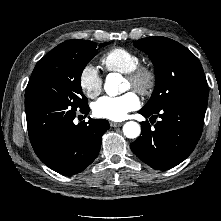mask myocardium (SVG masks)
I'll return each instance as SVG.
<instances>
[{
	"label": "myocardium",
	"instance_id": "f54148a6",
	"mask_svg": "<svg viewBox=\"0 0 221 221\" xmlns=\"http://www.w3.org/2000/svg\"><path fill=\"white\" fill-rule=\"evenodd\" d=\"M125 76L131 88L144 96H149L156 86V73L149 65L138 64Z\"/></svg>",
	"mask_w": 221,
	"mask_h": 221
}]
</instances>
